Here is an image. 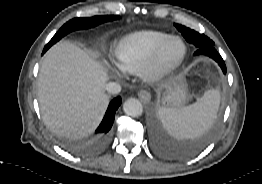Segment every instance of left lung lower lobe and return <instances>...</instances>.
<instances>
[{"label": "left lung lower lobe", "instance_id": "1", "mask_svg": "<svg viewBox=\"0 0 262 184\" xmlns=\"http://www.w3.org/2000/svg\"><path fill=\"white\" fill-rule=\"evenodd\" d=\"M195 55H207L214 59L223 73L227 72L224 60L214 46H203L197 49ZM150 142L154 151L170 160H185L201 153L209 144V136L180 139L174 137L163 123L159 112H153L148 121Z\"/></svg>", "mask_w": 262, "mask_h": 184}]
</instances>
